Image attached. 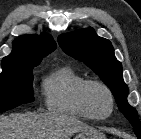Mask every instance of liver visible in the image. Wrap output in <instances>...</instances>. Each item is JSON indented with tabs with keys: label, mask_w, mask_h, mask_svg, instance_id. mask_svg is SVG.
Instances as JSON below:
<instances>
[{
	"label": "liver",
	"mask_w": 141,
	"mask_h": 139,
	"mask_svg": "<svg viewBox=\"0 0 141 139\" xmlns=\"http://www.w3.org/2000/svg\"><path fill=\"white\" fill-rule=\"evenodd\" d=\"M92 129L74 116L59 112H27L0 116V139H70Z\"/></svg>",
	"instance_id": "6515ba94"
}]
</instances>
